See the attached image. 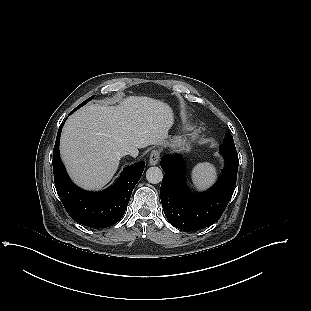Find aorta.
<instances>
[{
    "instance_id": "obj_1",
    "label": "aorta",
    "mask_w": 311,
    "mask_h": 311,
    "mask_svg": "<svg viewBox=\"0 0 311 311\" xmlns=\"http://www.w3.org/2000/svg\"><path fill=\"white\" fill-rule=\"evenodd\" d=\"M163 173L158 167H150L146 171V179L149 183L158 184L162 181Z\"/></svg>"
}]
</instances>
